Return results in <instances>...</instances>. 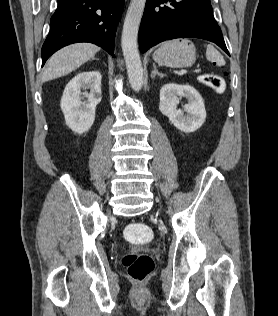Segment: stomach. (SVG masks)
<instances>
[{
  "mask_svg": "<svg viewBox=\"0 0 278 316\" xmlns=\"http://www.w3.org/2000/svg\"><path fill=\"white\" fill-rule=\"evenodd\" d=\"M152 57L159 65L172 68L190 67L195 62L196 49L189 40L176 39L163 43Z\"/></svg>",
  "mask_w": 278,
  "mask_h": 316,
  "instance_id": "stomach-1",
  "label": "stomach"
}]
</instances>
